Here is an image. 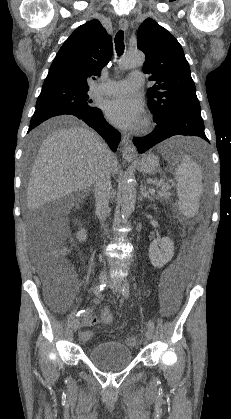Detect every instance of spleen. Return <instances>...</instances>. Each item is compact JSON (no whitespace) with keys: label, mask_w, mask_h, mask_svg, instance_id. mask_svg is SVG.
I'll use <instances>...</instances> for the list:
<instances>
[{"label":"spleen","mask_w":231,"mask_h":419,"mask_svg":"<svg viewBox=\"0 0 231 419\" xmlns=\"http://www.w3.org/2000/svg\"><path fill=\"white\" fill-rule=\"evenodd\" d=\"M177 180L178 207L180 212L191 218L199 207L202 193V173L199 165L189 155L185 154L175 170Z\"/></svg>","instance_id":"1"}]
</instances>
